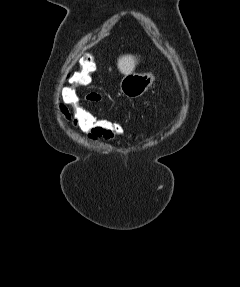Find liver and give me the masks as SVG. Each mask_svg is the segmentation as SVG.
<instances>
[{
	"mask_svg": "<svg viewBox=\"0 0 240 287\" xmlns=\"http://www.w3.org/2000/svg\"><path fill=\"white\" fill-rule=\"evenodd\" d=\"M138 61L133 55H123L119 57L117 67L119 71L124 74H130L134 71Z\"/></svg>",
	"mask_w": 240,
	"mask_h": 287,
	"instance_id": "obj_1",
	"label": "liver"
}]
</instances>
